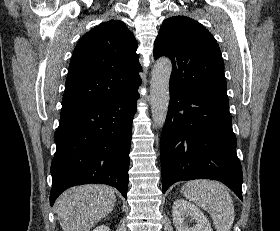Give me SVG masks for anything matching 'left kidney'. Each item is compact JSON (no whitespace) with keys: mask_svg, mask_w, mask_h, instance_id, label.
<instances>
[{"mask_svg":"<svg viewBox=\"0 0 280 231\" xmlns=\"http://www.w3.org/2000/svg\"><path fill=\"white\" fill-rule=\"evenodd\" d=\"M172 217L176 231H213L209 219L205 217L199 207L185 199L173 201ZM191 221H194L193 227L188 225Z\"/></svg>","mask_w":280,"mask_h":231,"instance_id":"5707ae66","label":"left kidney"}]
</instances>
